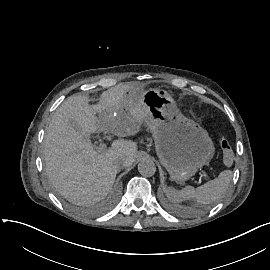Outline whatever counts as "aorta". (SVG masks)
I'll return each instance as SVG.
<instances>
[{
	"label": "aorta",
	"instance_id": "1",
	"mask_svg": "<svg viewBox=\"0 0 270 270\" xmlns=\"http://www.w3.org/2000/svg\"><path fill=\"white\" fill-rule=\"evenodd\" d=\"M138 171L144 177H151L156 171V166L152 160L142 159L138 164Z\"/></svg>",
	"mask_w": 270,
	"mask_h": 270
}]
</instances>
